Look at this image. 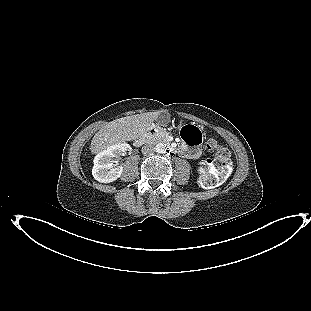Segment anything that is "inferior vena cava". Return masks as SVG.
Segmentation results:
<instances>
[{
	"label": "inferior vena cava",
	"mask_w": 311,
	"mask_h": 311,
	"mask_svg": "<svg viewBox=\"0 0 311 311\" xmlns=\"http://www.w3.org/2000/svg\"><path fill=\"white\" fill-rule=\"evenodd\" d=\"M155 152V147L152 144H145L142 147V153L144 155H151Z\"/></svg>",
	"instance_id": "inferior-vena-cava-1"
}]
</instances>
